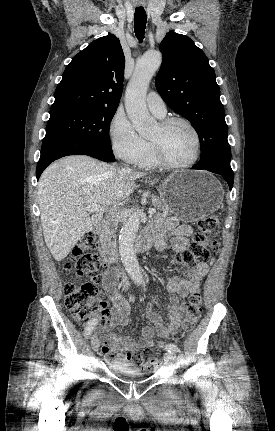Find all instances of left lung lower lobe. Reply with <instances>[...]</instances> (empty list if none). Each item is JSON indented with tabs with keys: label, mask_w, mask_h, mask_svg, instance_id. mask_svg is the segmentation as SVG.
<instances>
[{
	"label": "left lung lower lobe",
	"mask_w": 275,
	"mask_h": 431,
	"mask_svg": "<svg viewBox=\"0 0 275 431\" xmlns=\"http://www.w3.org/2000/svg\"><path fill=\"white\" fill-rule=\"evenodd\" d=\"M193 168L198 169V170L204 169V170H208L210 172L222 175V177L227 181V183L229 185V189L230 190L232 189L234 175H233L232 168L230 166H219V165L199 166V165H194Z\"/></svg>",
	"instance_id": "1"
}]
</instances>
